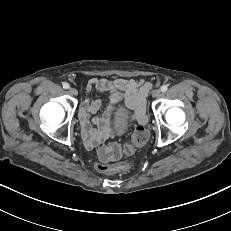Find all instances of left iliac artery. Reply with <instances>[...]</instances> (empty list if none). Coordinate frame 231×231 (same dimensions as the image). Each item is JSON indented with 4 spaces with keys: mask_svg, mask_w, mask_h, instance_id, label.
Segmentation results:
<instances>
[{
    "mask_svg": "<svg viewBox=\"0 0 231 231\" xmlns=\"http://www.w3.org/2000/svg\"><path fill=\"white\" fill-rule=\"evenodd\" d=\"M160 89L162 92H166L168 88L166 85H162Z\"/></svg>",
    "mask_w": 231,
    "mask_h": 231,
    "instance_id": "1",
    "label": "left iliac artery"
}]
</instances>
